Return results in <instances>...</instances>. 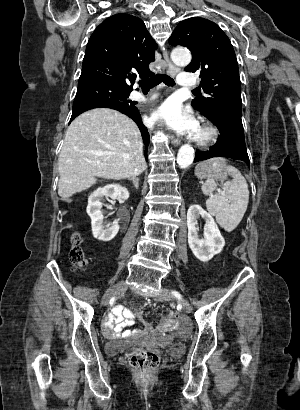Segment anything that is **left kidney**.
Returning <instances> with one entry per match:
<instances>
[{"instance_id": "5707ae66", "label": "left kidney", "mask_w": 300, "mask_h": 410, "mask_svg": "<svg viewBox=\"0 0 300 410\" xmlns=\"http://www.w3.org/2000/svg\"><path fill=\"white\" fill-rule=\"evenodd\" d=\"M202 217L205 220L204 239L198 236L197 219ZM188 244L196 258L200 261L208 262L214 255L219 254L225 241L219 228L211 214L206 212L201 206L194 204L187 212Z\"/></svg>"}]
</instances>
